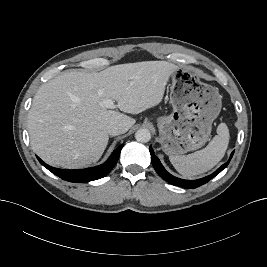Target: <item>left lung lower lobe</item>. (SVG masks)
Returning a JSON list of instances; mask_svg holds the SVG:
<instances>
[{
  "mask_svg": "<svg viewBox=\"0 0 267 267\" xmlns=\"http://www.w3.org/2000/svg\"><path fill=\"white\" fill-rule=\"evenodd\" d=\"M150 149V153H151V162L152 165L154 167V169L156 170V172L164 179L166 180L168 183L175 185V186H179L182 188H197L205 183H207L208 181H210L213 177H215L217 174H219L224 168L227 167V165L229 164L234 151L231 153V156L229 158V160L223 164L220 168H218L214 173H212L209 176H206L204 178L198 179V180H183V179H179L173 175H171L170 173H168L166 171V169L163 167V165L161 164L160 160L156 157V155L154 154V151L152 149V147H149Z\"/></svg>",
  "mask_w": 267,
  "mask_h": 267,
  "instance_id": "0a47b994",
  "label": "left lung lower lobe"
}]
</instances>
